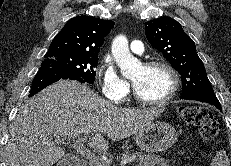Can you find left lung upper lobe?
<instances>
[{"instance_id": "5c2ea615", "label": "left lung upper lobe", "mask_w": 231, "mask_h": 166, "mask_svg": "<svg viewBox=\"0 0 231 166\" xmlns=\"http://www.w3.org/2000/svg\"><path fill=\"white\" fill-rule=\"evenodd\" d=\"M150 44L180 73L183 89L181 98L193 95H215L194 41L180 23L170 17L145 22Z\"/></svg>"}]
</instances>
